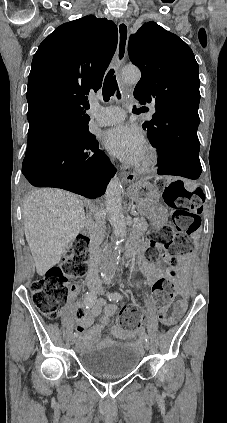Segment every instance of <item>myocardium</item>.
Segmentation results:
<instances>
[{"instance_id":"obj_1","label":"myocardium","mask_w":227,"mask_h":423,"mask_svg":"<svg viewBox=\"0 0 227 423\" xmlns=\"http://www.w3.org/2000/svg\"><path fill=\"white\" fill-rule=\"evenodd\" d=\"M147 151L148 158L137 166V169L141 172H152L157 169L160 163L161 155L157 147L154 145H148Z\"/></svg>"}]
</instances>
